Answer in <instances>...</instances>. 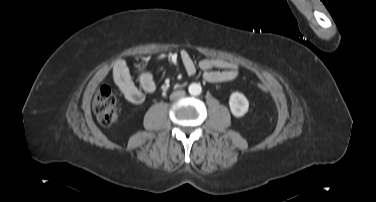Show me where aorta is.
I'll return each mask as SVG.
<instances>
[{
	"label": "aorta",
	"instance_id": "1",
	"mask_svg": "<svg viewBox=\"0 0 376 202\" xmlns=\"http://www.w3.org/2000/svg\"><path fill=\"white\" fill-rule=\"evenodd\" d=\"M188 91L191 95L197 96L202 92V88L200 84L192 83L189 85Z\"/></svg>",
	"mask_w": 376,
	"mask_h": 202
}]
</instances>
